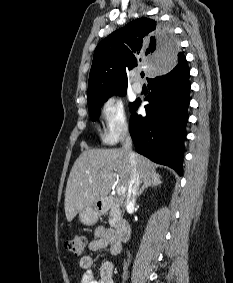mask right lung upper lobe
<instances>
[{"instance_id": "right-lung-upper-lobe-1", "label": "right lung upper lobe", "mask_w": 233, "mask_h": 283, "mask_svg": "<svg viewBox=\"0 0 233 283\" xmlns=\"http://www.w3.org/2000/svg\"><path fill=\"white\" fill-rule=\"evenodd\" d=\"M184 54L187 49H179L171 29L159 21H131L97 45L89 75L88 106L125 91L127 71L172 70L175 59L179 61Z\"/></svg>"}]
</instances>
